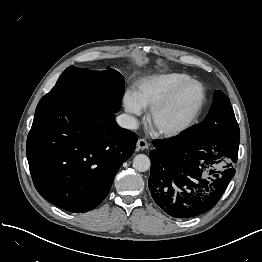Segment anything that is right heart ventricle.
<instances>
[{
    "label": "right heart ventricle",
    "mask_w": 262,
    "mask_h": 262,
    "mask_svg": "<svg viewBox=\"0 0 262 262\" xmlns=\"http://www.w3.org/2000/svg\"><path fill=\"white\" fill-rule=\"evenodd\" d=\"M188 79L191 76L181 72L154 75L136 85L134 96L142 108H151L174 87Z\"/></svg>",
    "instance_id": "e07e8e85"
}]
</instances>
